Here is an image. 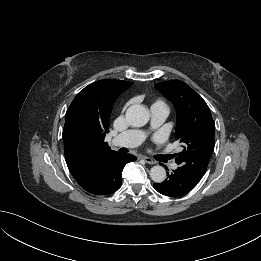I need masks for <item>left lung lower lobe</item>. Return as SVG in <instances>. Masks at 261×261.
<instances>
[{"mask_svg":"<svg viewBox=\"0 0 261 261\" xmlns=\"http://www.w3.org/2000/svg\"><path fill=\"white\" fill-rule=\"evenodd\" d=\"M167 179L161 183H154V188L165 196H181L191 191L199 181L181 167L173 172H167Z\"/></svg>","mask_w":261,"mask_h":261,"instance_id":"obj_1","label":"left lung lower lobe"}]
</instances>
